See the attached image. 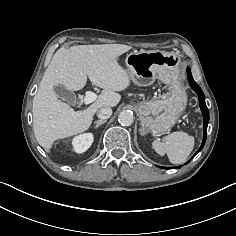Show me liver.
Here are the masks:
<instances>
[{"label":"liver","instance_id":"1","mask_svg":"<svg viewBox=\"0 0 236 236\" xmlns=\"http://www.w3.org/2000/svg\"><path fill=\"white\" fill-rule=\"evenodd\" d=\"M131 48L124 44H100L57 50L42 77L32 108L36 140L48 153L56 140L87 131L100 108L115 107L120 102L118 92L129 87L131 78L117 58ZM87 77L103 91L87 109L74 111L58 99L54 86L78 91L86 85Z\"/></svg>","mask_w":236,"mask_h":236}]
</instances>
